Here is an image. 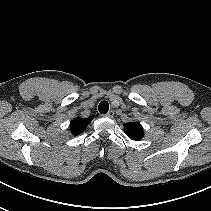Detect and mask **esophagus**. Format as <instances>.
Instances as JSON below:
<instances>
[{
  "mask_svg": "<svg viewBox=\"0 0 211 211\" xmlns=\"http://www.w3.org/2000/svg\"><path fill=\"white\" fill-rule=\"evenodd\" d=\"M104 117L112 118L114 116V111L110 110L108 113L103 114Z\"/></svg>",
  "mask_w": 211,
  "mask_h": 211,
  "instance_id": "34e87169",
  "label": "esophagus"
}]
</instances>
